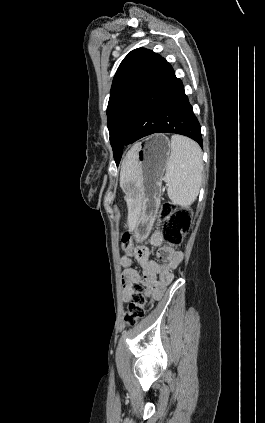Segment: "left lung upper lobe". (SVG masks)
I'll return each mask as SVG.
<instances>
[{"label": "left lung upper lobe", "mask_w": 265, "mask_h": 423, "mask_svg": "<svg viewBox=\"0 0 265 423\" xmlns=\"http://www.w3.org/2000/svg\"><path fill=\"white\" fill-rule=\"evenodd\" d=\"M156 56V53L148 49L132 50L123 59L114 76L107 107V124L117 165L121 159L135 100Z\"/></svg>", "instance_id": "obj_1"}]
</instances>
